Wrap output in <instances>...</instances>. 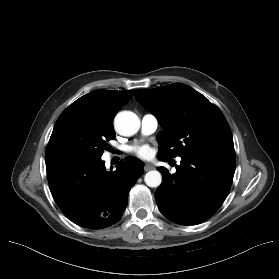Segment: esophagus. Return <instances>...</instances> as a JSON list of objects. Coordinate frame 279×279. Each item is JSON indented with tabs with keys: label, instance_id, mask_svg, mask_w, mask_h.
Segmentation results:
<instances>
[{
	"label": "esophagus",
	"instance_id": "1",
	"mask_svg": "<svg viewBox=\"0 0 279 279\" xmlns=\"http://www.w3.org/2000/svg\"><path fill=\"white\" fill-rule=\"evenodd\" d=\"M152 169H154V166H152V165H150V164H145V166H144V171H145V172H147V171H149V170H152Z\"/></svg>",
	"mask_w": 279,
	"mask_h": 279
}]
</instances>
